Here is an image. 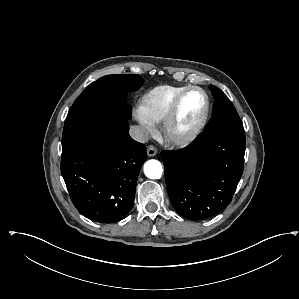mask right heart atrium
Segmentation results:
<instances>
[{
    "label": "right heart atrium",
    "instance_id": "right-heart-atrium-1",
    "mask_svg": "<svg viewBox=\"0 0 299 299\" xmlns=\"http://www.w3.org/2000/svg\"><path fill=\"white\" fill-rule=\"evenodd\" d=\"M135 117L140 123V125L143 127L146 134H152L154 132V126L153 124L148 121L141 113L140 111L135 112Z\"/></svg>",
    "mask_w": 299,
    "mask_h": 299
}]
</instances>
